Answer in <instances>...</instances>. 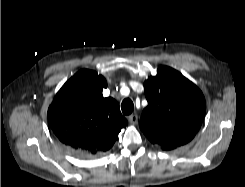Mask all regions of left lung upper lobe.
Listing matches in <instances>:
<instances>
[{
    "mask_svg": "<svg viewBox=\"0 0 245 187\" xmlns=\"http://www.w3.org/2000/svg\"><path fill=\"white\" fill-rule=\"evenodd\" d=\"M148 106L140 129L163 150L190 142L205 115V98L200 89L178 71L162 66L144 82Z\"/></svg>",
    "mask_w": 245,
    "mask_h": 187,
    "instance_id": "5c2ea615",
    "label": "left lung upper lobe"
}]
</instances>
